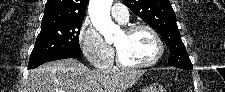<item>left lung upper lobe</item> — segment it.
I'll use <instances>...</instances> for the list:
<instances>
[{
	"instance_id": "left-lung-upper-lobe-1",
	"label": "left lung upper lobe",
	"mask_w": 225,
	"mask_h": 92,
	"mask_svg": "<svg viewBox=\"0 0 225 92\" xmlns=\"http://www.w3.org/2000/svg\"><path fill=\"white\" fill-rule=\"evenodd\" d=\"M131 11L153 27L170 49L169 64L191 67L169 0H123Z\"/></svg>"
}]
</instances>
